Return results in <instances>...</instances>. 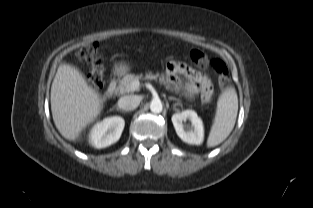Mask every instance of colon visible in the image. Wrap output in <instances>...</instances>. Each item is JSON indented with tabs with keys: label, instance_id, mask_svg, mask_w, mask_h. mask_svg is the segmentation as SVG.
<instances>
[{
	"label": "colon",
	"instance_id": "1",
	"mask_svg": "<svg viewBox=\"0 0 313 208\" xmlns=\"http://www.w3.org/2000/svg\"><path fill=\"white\" fill-rule=\"evenodd\" d=\"M81 59L87 60L92 64V72L90 74V80L96 87H102L104 84L103 71L101 61L99 57V44L97 42L87 45L79 50L78 53ZM191 60L200 65L204 66L208 63V57L206 54L199 50H192L190 52ZM213 68L218 76V83L220 86L228 84L230 77L227 66L219 59H215L212 62Z\"/></svg>",
	"mask_w": 313,
	"mask_h": 208
}]
</instances>
